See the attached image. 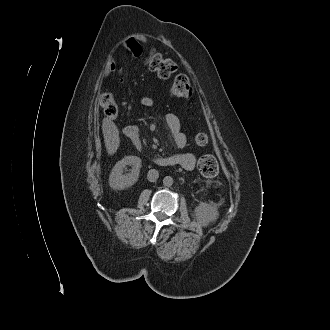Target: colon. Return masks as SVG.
Returning <instances> with one entry per match:
<instances>
[{
	"mask_svg": "<svg viewBox=\"0 0 330 330\" xmlns=\"http://www.w3.org/2000/svg\"><path fill=\"white\" fill-rule=\"evenodd\" d=\"M145 66L155 72L160 78L167 79L171 77L176 69V64L164 58L156 50H151L144 59ZM171 94L176 98L188 99L193 94V88L190 80L186 75H179L175 78L171 86ZM104 114L109 118H116L118 115V107L114 97L109 92H103L99 98ZM195 142L199 146H205L208 143V136L205 133H198L195 136ZM199 171L206 177H213L218 173V162L212 156H203L198 161Z\"/></svg>",
	"mask_w": 330,
	"mask_h": 330,
	"instance_id": "5ec220e1",
	"label": "colon"
}]
</instances>
